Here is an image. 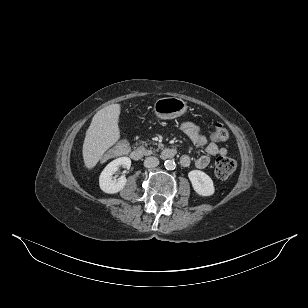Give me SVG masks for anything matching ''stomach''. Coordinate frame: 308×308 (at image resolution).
<instances>
[{"mask_svg": "<svg viewBox=\"0 0 308 308\" xmlns=\"http://www.w3.org/2000/svg\"><path fill=\"white\" fill-rule=\"evenodd\" d=\"M187 103L177 97H164L154 103V112L160 119H174L186 113Z\"/></svg>", "mask_w": 308, "mask_h": 308, "instance_id": "0dacf381", "label": "stomach"}]
</instances>
